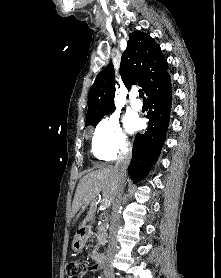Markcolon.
Wrapping results in <instances>:
<instances>
[{
	"label": "colon",
	"instance_id": "colon-1",
	"mask_svg": "<svg viewBox=\"0 0 221 278\" xmlns=\"http://www.w3.org/2000/svg\"><path fill=\"white\" fill-rule=\"evenodd\" d=\"M91 267L82 260H72L67 265L68 278H85Z\"/></svg>",
	"mask_w": 221,
	"mask_h": 278
}]
</instances>
